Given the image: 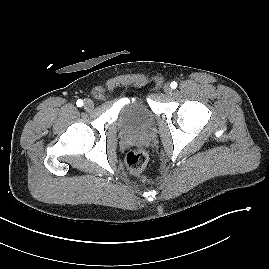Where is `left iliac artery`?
Wrapping results in <instances>:
<instances>
[{
	"instance_id": "44dca946",
	"label": "left iliac artery",
	"mask_w": 269,
	"mask_h": 269,
	"mask_svg": "<svg viewBox=\"0 0 269 269\" xmlns=\"http://www.w3.org/2000/svg\"><path fill=\"white\" fill-rule=\"evenodd\" d=\"M170 86L172 89H175L177 87V82L175 81L171 82Z\"/></svg>"
}]
</instances>
